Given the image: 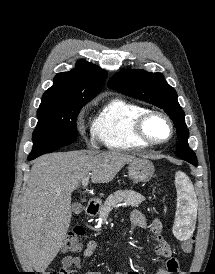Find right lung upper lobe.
I'll list each match as a JSON object with an SVG mask.
<instances>
[{
    "instance_id": "cb5924a9",
    "label": "right lung upper lobe",
    "mask_w": 215,
    "mask_h": 274,
    "mask_svg": "<svg viewBox=\"0 0 215 274\" xmlns=\"http://www.w3.org/2000/svg\"><path fill=\"white\" fill-rule=\"evenodd\" d=\"M107 72L84 60H79L76 68L58 73L54 84L42 97V103L67 102L86 104L102 89Z\"/></svg>"
}]
</instances>
